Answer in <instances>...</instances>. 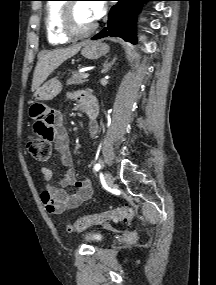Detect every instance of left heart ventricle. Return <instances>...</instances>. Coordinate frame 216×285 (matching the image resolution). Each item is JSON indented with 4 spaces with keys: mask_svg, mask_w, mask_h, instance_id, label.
<instances>
[{
    "mask_svg": "<svg viewBox=\"0 0 216 285\" xmlns=\"http://www.w3.org/2000/svg\"><path fill=\"white\" fill-rule=\"evenodd\" d=\"M73 17L76 29L81 31L90 28L95 23L85 2H77L74 5Z\"/></svg>",
    "mask_w": 216,
    "mask_h": 285,
    "instance_id": "1",
    "label": "left heart ventricle"
}]
</instances>
